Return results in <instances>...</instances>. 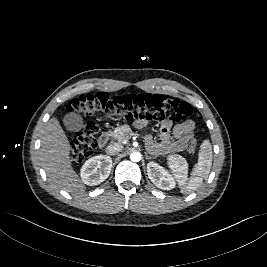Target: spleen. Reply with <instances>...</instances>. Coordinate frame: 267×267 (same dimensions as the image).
Listing matches in <instances>:
<instances>
[{"label": "spleen", "instance_id": "3e777b00", "mask_svg": "<svg viewBox=\"0 0 267 267\" xmlns=\"http://www.w3.org/2000/svg\"><path fill=\"white\" fill-rule=\"evenodd\" d=\"M212 146L209 140H204L200 146L198 162L194 166L191 177L188 180V166L181 156L173 157L170 168L174 172L181 192L189 194L197 190L203 183V178L207 177L212 165Z\"/></svg>", "mask_w": 267, "mask_h": 267}]
</instances>
